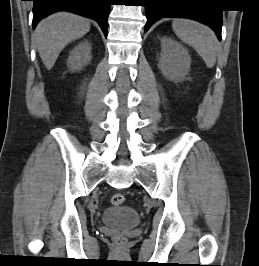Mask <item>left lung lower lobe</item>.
Returning <instances> with one entry per match:
<instances>
[{"label": "left lung lower lobe", "mask_w": 259, "mask_h": 266, "mask_svg": "<svg viewBox=\"0 0 259 266\" xmlns=\"http://www.w3.org/2000/svg\"><path fill=\"white\" fill-rule=\"evenodd\" d=\"M196 2L195 0H145L147 23L144 31L146 32L161 18H189L208 25L220 40L222 10L196 5Z\"/></svg>", "instance_id": "obj_1"}]
</instances>
